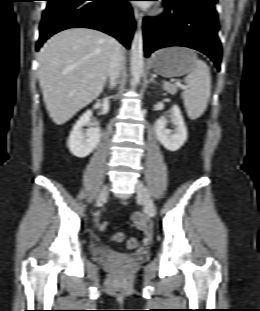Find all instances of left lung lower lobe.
<instances>
[{"label": "left lung lower lobe", "mask_w": 260, "mask_h": 311, "mask_svg": "<svg viewBox=\"0 0 260 311\" xmlns=\"http://www.w3.org/2000/svg\"><path fill=\"white\" fill-rule=\"evenodd\" d=\"M163 15L145 18V55L168 46H184L203 52L220 70L222 56L215 9L198 0H163Z\"/></svg>", "instance_id": "left-lung-lower-lobe-1"}]
</instances>
